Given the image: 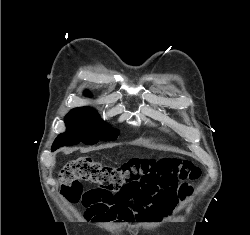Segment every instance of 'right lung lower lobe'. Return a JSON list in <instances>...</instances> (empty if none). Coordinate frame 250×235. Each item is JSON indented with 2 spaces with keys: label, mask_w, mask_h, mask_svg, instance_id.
I'll return each instance as SVG.
<instances>
[{
  "label": "right lung lower lobe",
  "mask_w": 250,
  "mask_h": 235,
  "mask_svg": "<svg viewBox=\"0 0 250 235\" xmlns=\"http://www.w3.org/2000/svg\"><path fill=\"white\" fill-rule=\"evenodd\" d=\"M56 149H58V148H57V147L52 146V151H54V150H56Z\"/></svg>",
  "instance_id": "obj_1"
}]
</instances>
